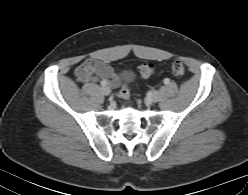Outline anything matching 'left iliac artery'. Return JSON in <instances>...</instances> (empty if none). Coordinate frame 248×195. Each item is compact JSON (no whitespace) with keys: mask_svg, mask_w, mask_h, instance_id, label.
Wrapping results in <instances>:
<instances>
[{"mask_svg":"<svg viewBox=\"0 0 248 195\" xmlns=\"http://www.w3.org/2000/svg\"><path fill=\"white\" fill-rule=\"evenodd\" d=\"M164 83L165 84H168L169 83V79L168 78L164 79Z\"/></svg>","mask_w":248,"mask_h":195,"instance_id":"44dca946","label":"left iliac artery"}]
</instances>
